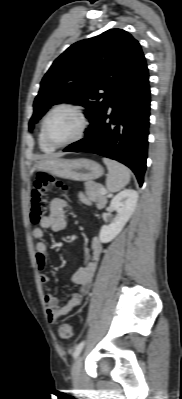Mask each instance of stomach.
I'll use <instances>...</instances> for the list:
<instances>
[{
  "mask_svg": "<svg viewBox=\"0 0 182 399\" xmlns=\"http://www.w3.org/2000/svg\"><path fill=\"white\" fill-rule=\"evenodd\" d=\"M38 171H44L54 176L75 181L94 180L103 175L102 166L90 159L53 158L39 161L35 164Z\"/></svg>",
  "mask_w": 182,
  "mask_h": 399,
  "instance_id": "1",
  "label": "stomach"
}]
</instances>
